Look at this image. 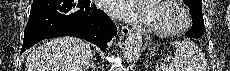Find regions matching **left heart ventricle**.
<instances>
[{"instance_id": "left-heart-ventricle-1", "label": "left heart ventricle", "mask_w": 230, "mask_h": 71, "mask_svg": "<svg viewBox=\"0 0 230 71\" xmlns=\"http://www.w3.org/2000/svg\"><path fill=\"white\" fill-rule=\"evenodd\" d=\"M153 18L151 24L161 26H175L180 22L179 14L172 8L165 7L156 1H151Z\"/></svg>"}]
</instances>
